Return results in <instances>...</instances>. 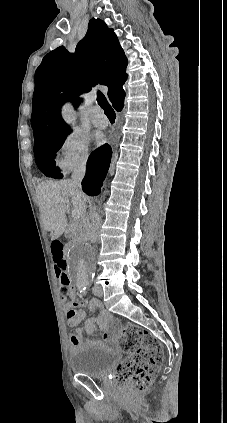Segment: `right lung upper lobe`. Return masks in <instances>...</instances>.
I'll use <instances>...</instances> for the list:
<instances>
[{"mask_svg":"<svg viewBox=\"0 0 227 423\" xmlns=\"http://www.w3.org/2000/svg\"><path fill=\"white\" fill-rule=\"evenodd\" d=\"M127 63L113 30L95 18L73 54L63 46L47 54L35 72L31 115L34 139L68 134L70 129L61 118L62 105L74 97V106H78L79 93L90 91L95 84L109 87L113 105L123 101Z\"/></svg>","mask_w":227,"mask_h":423,"instance_id":"cb5924a9","label":"right lung upper lobe"}]
</instances>
